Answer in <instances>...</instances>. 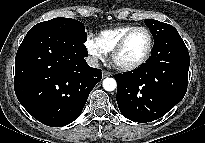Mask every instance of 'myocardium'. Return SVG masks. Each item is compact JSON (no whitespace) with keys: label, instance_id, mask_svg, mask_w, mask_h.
I'll list each match as a JSON object with an SVG mask.
<instances>
[{"label":"myocardium","instance_id":"obj_1","mask_svg":"<svg viewBox=\"0 0 205 143\" xmlns=\"http://www.w3.org/2000/svg\"><path fill=\"white\" fill-rule=\"evenodd\" d=\"M137 30H143L147 33L148 38H149V43H148V47L147 50L144 54V56L136 63L134 64H130V65H120L116 62V58L117 56L122 52V50L124 49L129 37ZM153 35L150 31L149 28L145 27V26H134L133 28H131L130 30H128L123 36L122 38L119 40V42L116 44V46L114 47V49L111 51V62L113 64V66L115 68H117L120 71H124V72H129V71H134L139 69L140 67H142L150 58L152 50H153Z\"/></svg>","mask_w":205,"mask_h":143}]
</instances>
